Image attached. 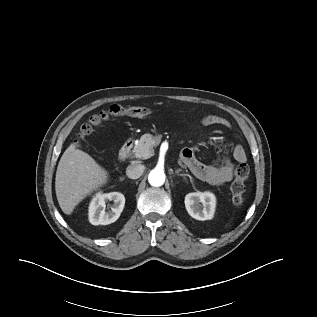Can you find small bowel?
<instances>
[{
  "instance_id": "c3829d8e",
  "label": "small bowel",
  "mask_w": 317,
  "mask_h": 317,
  "mask_svg": "<svg viewBox=\"0 0 317 317\" xmlns=\"http://www.w3.org/2000/svg\"><path fill=\"white\" fill-rule=\"evenodd\" d=\"M202 123L206 126L230 127V123L225 118L217 115L204 116ZM181 159L196 178L215 186H222L233 179L235 165L245 163L247 156L243 147L237 145L234 147L231 156L212 164H205L198 160L190 148L182 150Z\"/></svg>"
}]
</instances>
